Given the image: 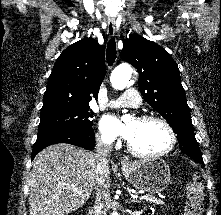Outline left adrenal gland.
<instances>
[{
  "label": "left adrenal gland",
  "mask_w": 221,
  "mask_h": 215,
  "mask_svg": "<svg viewBox=\"0 0 221 215\" xmlns=\"http://www.w3.org/2000/svg\"><path fill=\"white\" fill-rule=\"evenodd\" d=\"M131 202H136L135 200H132Z\"/></svg>",
  "instance_id": "a2214340"
}]
</instances>
